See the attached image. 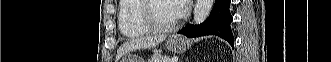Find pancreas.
Here are the masks:
<instances>
[{"label": "pancreas", "instance_id": "pancreas-1", "mask_svg": "<svg viewBox=\"0 0 331 62\" xmlns=\"http://www.w3.org/2000/svg\"><path fill=\"white\" fill-rule=\"evenodd\" d=\"M150 62H170L169 56H163L161 54H154Z\"/></svg>", "mask_w": 331, "mask_h": 62}]
</instances>
